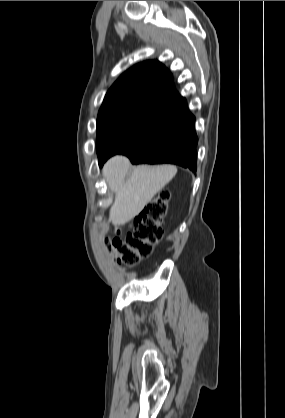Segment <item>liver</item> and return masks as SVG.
Masks as SVG:
<instances>
[{"instance_id":"liver-1","label":"liver","mask_w":285,"mask_h":418,"mask_svg":"<svg viewBox=\"0 0 285 418\" xmlns=\"http://www.w3.org/2000/svg\"><path fill=\"white\" fill-rule=\"evenodd\" d=\"M130 168L127 157L116 155L102 170L109 188L115 193L109 213V220L114 225H124L136 217L177 173L172 165H140L127 177Z\"/></svg>"}]
</instances>
